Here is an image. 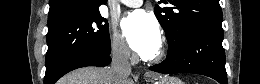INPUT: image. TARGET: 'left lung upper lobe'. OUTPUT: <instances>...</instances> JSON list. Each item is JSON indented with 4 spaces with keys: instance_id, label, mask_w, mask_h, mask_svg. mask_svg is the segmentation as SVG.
<instances>
[{
    "instance_id": "1",
    "label": "left lung upper lobe",
    "mask_w": 260,
    "mask_h": 84,
    "mask_svg": "<svg viewBox=\"0 0 260 84\" xmlns=\"http://www.w3.org/2000/svg\"><path fill=\"white\" fill-rule=\"evenodd\" d=\"M173 7L155 6L154 13L163 27L168 46H174L186 30L198 23L222 22L219 0H169ZM159 3L168 4L162 0ZM176 11H173V10Z\"/></svg>"
}]
</instances>
